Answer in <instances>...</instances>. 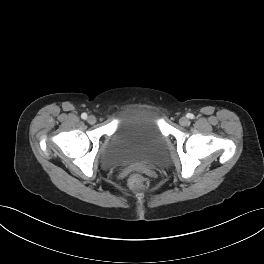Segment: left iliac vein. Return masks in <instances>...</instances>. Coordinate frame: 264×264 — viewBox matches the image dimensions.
Masks as SVG:
<instances>
[{"mask_svg": "<svg viewBox=\"0 0 264 264\" xmlns=\"http://www.w3.org/2000/svg\"><path fill=\"white\" fill-rule=\"evenodd\" d=\"M179 123L182 126H187L189 124V119L187 117H181L180 120H179Z\"/></svg>", "mask_w": 264, "mask_h": 264, "instance_id": "1", "label": "left iliac vein"}]
</instances>
